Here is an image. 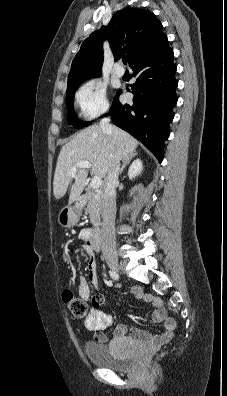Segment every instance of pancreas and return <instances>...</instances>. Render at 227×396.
Here are the masks:
<instances>
[{"label": "pancreas", "instance_id": "1", "mask_svg": "<svg viewBox=\"0 0 227 396\" xmlns=\"http://www.w3.org/2000/svg\"><path fill=\"white\" fill-rule=\"evenodd\" d=\"M101 197L102 196L100 193L88 189L87 191L88 204L86 207V212L89 214L90 222L93 226H99L100 224V215L102 212Z\"/></svg>", "mask_w": 227, "mask_h": 396}]
</instances>
